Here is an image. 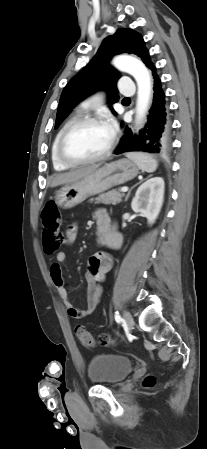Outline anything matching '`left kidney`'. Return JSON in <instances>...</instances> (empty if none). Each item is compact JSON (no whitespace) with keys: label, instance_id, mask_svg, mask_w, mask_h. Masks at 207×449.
I'll list each match as a JSON object with an SVG mask.
<instances>
[{"label":"left kidney","instance_id":"left-kidney-1","mask_svg":"<svg viewBox=\"0 0 207 449\" xmlns=\"http://www.w3.org/2000/svg\"><path fill=\"white\" fill-rule=\"evenodd\" d=\"M164 187L163 178H150L139 186L132 200V210L147 218L149 224H153L160 213L164 199Z\"/></svg>","mask_w":207,"mask_h":449}]
</instances>
